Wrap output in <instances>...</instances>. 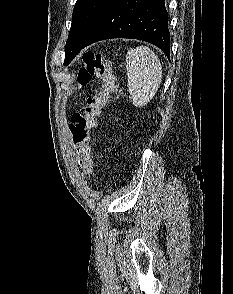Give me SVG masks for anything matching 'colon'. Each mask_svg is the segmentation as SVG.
Segmentation results:
<instances>
[{"instance_id":"1","label":"colon","mask_w":233,"mask_h":294,"mask_svg":"<svg viewBox=\"0 0 233 294\" xmlns=\"http://www.w3.org/2000/svg\"><path fill=\"white\" fill-rule=\"evenodd\" d=\"M93 78L99 80L98 88L87 97L81 109L73 114L69 125L78 163L83 172L88 175L93 170L90 156L91 131L117 90L116 76L109 59L100 53L88 51L83 55V64L78 73V84L87 85Z\"/></svg>"}]
</instances>
